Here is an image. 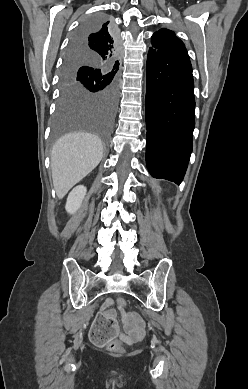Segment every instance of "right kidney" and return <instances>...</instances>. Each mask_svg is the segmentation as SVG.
Masks as SVG:
<instances>
[{
    "label": "right kidney",
    "instance_id": "1",
    "mask_svg": "<svg viewBox=\"0 0 248 389\" xmlns=\"http://www.w3.org/2000/svg\"><path fill=\"white\" fill-rule=\"evenodd\" d=\"M86 192V187L79 185L69 193L65 206V209L69 214H74L80 208Z\"/></svg>",
    "mask_w": 248,
    "mask_h": 389
}]
</instances>
